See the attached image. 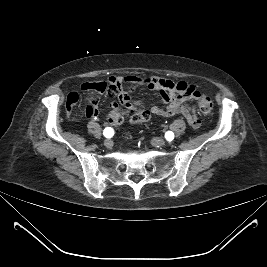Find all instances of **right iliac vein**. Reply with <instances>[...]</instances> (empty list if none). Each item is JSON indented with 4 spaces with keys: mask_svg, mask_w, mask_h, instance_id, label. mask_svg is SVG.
<instances>
[{
    "mask_svg": "<svg viewBox=\"0 0 267 267\" xmlns=\"http://www.w3.org/2000/svg\"><path fill=\"white\" fill-rule=\"evenodd\" d=\"M113 145V142L110 139L104 141V146L110 148Z\"/></svg>",
    "mask_w": 267,
    "mask_h": 267,
    "instance_id": "obj_1",
    "label": "right iliac vein"
}]
</instances>
